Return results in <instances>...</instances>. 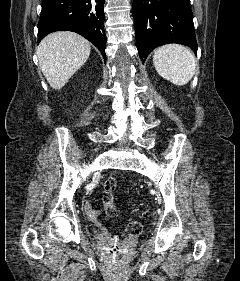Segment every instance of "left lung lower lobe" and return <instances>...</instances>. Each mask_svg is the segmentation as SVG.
Listing matches in <instances>:
<instances>
[{
    "label": "left lung lower lobe",
    "instance_id": "left-lung-lower-lobe-1",
    "mask_svg": "<svg viewBox=\"0 0 240 281\" xmlns=\"http://www.w3.org/2000/svg\"><path fill=\"white\" fill-rule=\"evenodd\" d=\"M132 10L142 62L154 48L167 43L187 45L197 53L189 0H134Z\"/></svg>",
    "mask_w": 240,
    "mask_h": 281
}]
</instances>
